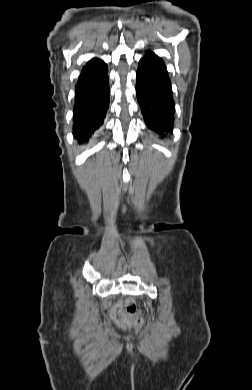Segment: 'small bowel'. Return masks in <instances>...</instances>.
I'll return each instance as SVG.
<instances>
[{
	"instance_id": "obj_1",
	"label": "small bowel",
	"mask_w": 252,
	"mask_h": 390,
	"mask_svg": "<svg viewBox=\"0 0 252 390\" xmlns=\"http://www.w3.org/2000/svg\"><path fill=\"white\" fill-rule=\"evenodd\" d=\"M110 318L119 328L126 327L129 322L123 312V303L122 301H117L112 308L110 309Z\"/></svg>"
}]
</instances>
